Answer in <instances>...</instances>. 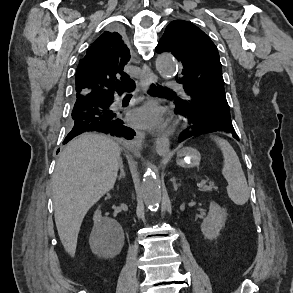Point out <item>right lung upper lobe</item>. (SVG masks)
<instances>
[{"instance_id": "right-lung-upper-lobe-1", "label": "right lung upper lobe", "mask_w": 293, "mask_h": 293, "mask_svg": "<svg viewBox=\"0 0 293 293\" xmlns=\"http://www.w3.org/2000/svg\"><path fill=\"white\" fill-rule=\"evenodd\" d=\"M130 52L116 31H105L96 39L76 72V94L122 92L132 81L123 71Z\"/></svg>"}]
</instances>
